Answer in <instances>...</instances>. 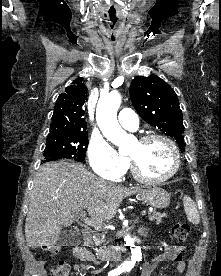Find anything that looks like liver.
I'll use <instances>...</instances> for the list:
<instances>
[{
	"mask_svg": "<svg viewBox=\"0 0 221 276\" xmlns=\"http://www.w3.org/2000/svg\"><path fill=\"white\" fill-rule=\"evenodd\" d=\"M142 191L108 183L74 161L44 164L36 173L31 191L26 243L33 249L52 248L62 227L74 223L79 213L87 210L97 224L109 221L123 198Z\"/></svg>",
	"mask_w": 221,
	"mask_h": 276,
	"instance_id": "6515ba94",
	"label": "liver"
}]
</instances>
